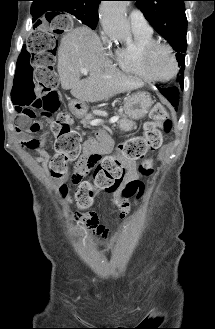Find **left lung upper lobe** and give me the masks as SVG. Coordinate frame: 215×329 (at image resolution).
I'll return each instance as SVG.
<instances>
[{"instance_id": "5c2ea615", "label": "left lung upper lobe", "mask_w": 215, "mask_h": 329, "mask_svg": "<svg viewBox=\"0 0 215 329\" xmlns=\"http://www.w3.org/2000/svg\"><path fill=\"white\" fill-rule=\"evenodd\" d=\"M143 12L152 27L164 37L177 52L180 66L178 85H183L185 52L187 48V19L184 1L186 0H133Z\"/></svg>"}]
</instances>
